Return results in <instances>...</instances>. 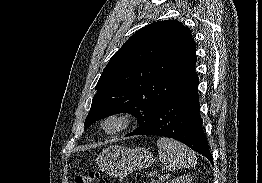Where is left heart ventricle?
Returning <instances> with one entry per match:
<instances>
[{
  "label": "left heart ventricle",
  "instance_id": "left-heart-ventricle-1",
  "mask_svg": "<svg viewBox=\"0 0 262 183\" xmlns=\"http://www.w3.org/2000/svg\"><path fill=\"white\" fill-rule=\"evenodd\" d=\"M115 126L114 122H108L107 123V128H113Z\"/></svg>",
  "mask_w": 262,
  "mask_h": 183
}]
</instances>
